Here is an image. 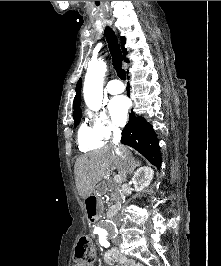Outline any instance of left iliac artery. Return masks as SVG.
Masks as SVG:
<instances>
[{"label":"left iliac artery","mask_w":221,"mask_h":266,"mask_svg":"<svg viewBox=\"0 0 221 266\" xmlns=\"http://www.w3.org/2000/svg\"><path fill=\"white\" fill-rule=\"evenodd\" d=\"M98 234H99V242H100V244L102 246H104V247H109L110 246V243L108 242L107 237H106L107 233L101 231Z\"/></svg>","instance_id":"44dca946"}]
</instances>
